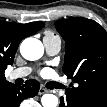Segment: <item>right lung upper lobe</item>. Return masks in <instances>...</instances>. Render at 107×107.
I'll return each instance as SVG.
<instances>
[{
    "instance_id": "right-lung-upper-lobe-1",
    "label": "right lung upper lobe",
    "mask_w": 107,
    "mask_h": 107,
    "mask_svg": "<svg viewBox=\"0 0 107 107\" xmlns=\"http://www.w3.org/2000/svg\"><path fill=\"white\" fill-rule=\"evenodd\" d=\"M44 25L43 22L16 24L0 21V83L6 81L4 71L12 65L21 40L35 34Z\"/></svg>"
}]
</instances>
